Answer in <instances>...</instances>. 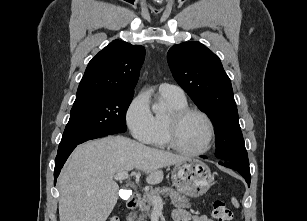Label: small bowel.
I'll use <instances>...</instances> for the list:
<instances>
[{
    "mask_svg": "<svg viewBox=\"0 0 307 221\" xmlns=\"http://www.w3.org/2000/svg\"><path fill=\"white\" fill-rule=\"evenodd\" d=\"M174 221H213L206 215H192L189 211L183 208H176L172 212Z\"/></svg>",
    "mask_w": 307,
    "mask_h": 221,
    "instance_id": "c3829d8e",
    "label": "small bowel"
}]
</instances>
